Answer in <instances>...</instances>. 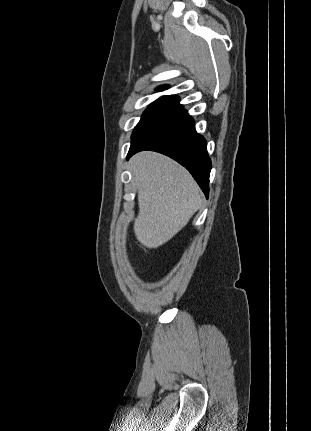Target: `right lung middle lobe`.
I'll use <instances>...</instances> for the list:
<instances>
[{
    "instance_id": "obj_1",
    "label": "right lung middle lobe",
    "mask_w": 311,
    "mask_h": 431,
    "mask_svg": "<svg viewBox=\"0 0 311 431\" xmlns=\"http://www.w3.org/2000/svg\"><path fill=\"white\" fill-rule=\"evenodd\" d=\"M179 102V99L173 96H164L154 101L149 105V107L144 112L141 120L136 125L131 139H133L144 127H146L150 122L157 118L166 109L170 108L174 104Z\"/></svg>"
}]
</instances>
